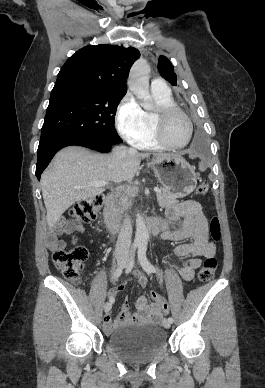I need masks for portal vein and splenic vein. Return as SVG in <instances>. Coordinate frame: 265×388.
<instances>
[{
  "label": "portal vein and splenic vein",
  "instance_id": "obj_1",
  "mask_svg": "<svg viewBox=\"0 0 265 388\" xmlns=\"http://www.w3.org/2000/svg\"><path fill=\"white\" fill-rule=\"evenodd\" d=\"M108 182H88L87 186H95V188H101V186H107ZM154 192L160 194L159 188H154Z\"/></svg>",
  "mask_w": 265,
  "mask_h": 388
}]
</instances>
